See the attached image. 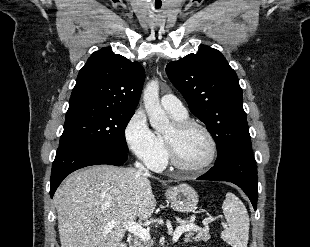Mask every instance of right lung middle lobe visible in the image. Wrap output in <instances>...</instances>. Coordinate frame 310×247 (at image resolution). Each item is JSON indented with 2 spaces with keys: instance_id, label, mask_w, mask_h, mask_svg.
<instances>
[{
  "instance_id": "right-lung-middle-lobe-1",
  "label": "right lung middle lobe",
  "mask_w": 310,
  "mask_h": 247,
  "mask_svg": "<svg viewBox=\"0 0 310 247\" xmlns=\"http://www.w3.org/2000/svg\"><path fill=\"white\" fill-rule=\"evenodd\" d=\"M134 113L113 109H68L59 147L81 143L127 153L124 129Z\"/></svg>"
}]
</instances>
